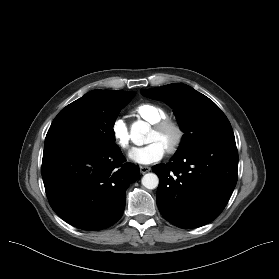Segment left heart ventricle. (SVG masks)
<instances>
[{
  "label": "left heart ventricle",
  "mask_w": 279,
  "mask_h": 279,
  "mask_svg": "<svg viewBox=\"0 0 279 279\" xmlns=\"http://www.w3.org/2000/svg\"><path fill=\"white\" fill-rule=\"evenodd\" d=\"M174 133L171 130H166L163 132H156L153 129L150 130L147 136V143L157 141L159 142L164 148H166L173 140Z\"/></svg>",
  "instance_id": "left-heart-ventricle-1"
}]
</instances>
